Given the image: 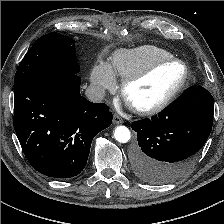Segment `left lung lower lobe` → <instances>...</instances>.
I'll use <instances>...</instances> for the list:
<instances>
[{
  "mask_svg": "<svg viewBox=\"0 0 224 224\" xmlns=\"http://www.w3.org/2000/svg\"><path fill=\"white\" fill-rule=\"evenodd\" d=\"M213 104L212 95L195 86L158 115L133 122L139 144L133 155L137 177L163 184L186 173L210 135Z\"/></svg>",
  "mask_w": 224,
  "mask_h": 224,
  "instance_id": "0a47b994",
  "label": "left lung lower lobe"
}]
</instances>
